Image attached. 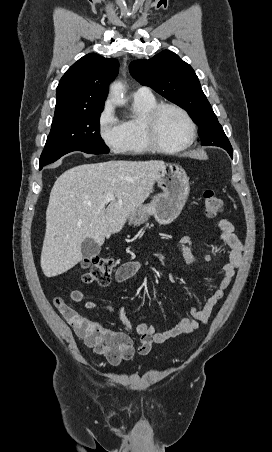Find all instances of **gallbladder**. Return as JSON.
<instances>
[{"label":"gallbladder","mask_w":272,"mask_h":452,"mask_svg":"<svg viewBox=\"0 0 272 452\" xmlns=\"http://www.w3.org/2000/svg\"><path fill=\"white\" fill-rule=\"evenodd\" d=\"M100 246L91 238H85L81 245L83 257L93 258L100 253Z\"/></svg>","instance_id":"gallbladder-1"}]
</instances>
